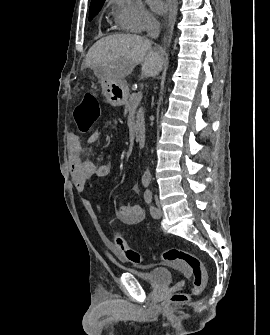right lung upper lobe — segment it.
Here are the masks:
<instances>
[{"label": "right lung upper lobe", "instance_id": "obj_1", "mask_svg": "<svg viewBox=\"0 0 270 335\" xmlns=\"http://www.w3.org/2000/svg\"><path fill=\"white\" fill-rule=\"evenodd\" d=\"M105 0H91V5H94V4H99V3H102L104 2Z\"/></svg>", "mask_w": 270, "mask_h": 335}]
</instances>
